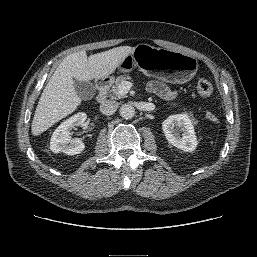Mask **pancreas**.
Returning <instances> with one entry per match:
<instances>
[{
  "mask_svg": "<svg viewBox=\"0 0 257 257\" xmlns=\"http://www.w3.org/2000/svg\"><path fill=\"white\" fill-rule=\"evenodd\" d=\"M132 78L129 75H121L116 78L115 85L112 86L111 90V95L112 97H118V98H123L126 96V94H120L119 93V85L126 81V80H131Z\"/></svg>",
  "mask_w": 257,
  "mask_h": 257,
  "instance_id": "1",
  "label": "pancreas"
}]
</instances>
